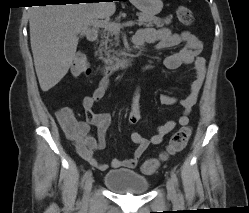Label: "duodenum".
<instances>
[{"instance_id": "1", "label": "duodenum", "mask_w": 249, "mask_h": 213, "mask_svg": "<svg viewBox=\"0 0 249 213\" xmlns=\"http://www.w3.org/2000/svg\"><path fill=\"white\" fill-rule=\"evenodd\" d=\"M98 35H99L98 30L91 29L87 33V38L90 41H96L98 39ZM128 64H129V60L127 58H121V59L117 60L115 63L108 65L106 68V72L111 73L115 70L125 68V67H127Z\"/></svg>"}]
</instances>
